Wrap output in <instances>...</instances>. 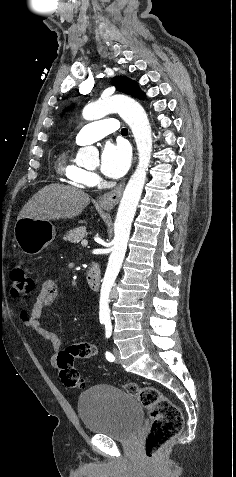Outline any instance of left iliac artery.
<instances>
[{"label": "left iliac artery", "instance_id": "obj_1", "mask_svg": "<svg viewBox=\"0 0 236 477\" xmlns=\"http://www.w3.org/2000/svg\"><path fill=\"white\" fill-rule=\"evenodd\" d=\"M105 334H106V338H109L112 334V326H111V323L109 322H105ZM105 356H106V359L110 362H113L115 360V357L112 353L110 352H106L105 353Z\"/></svg>", "mask_w": 236, "mask_h": 477}]
</instances>
